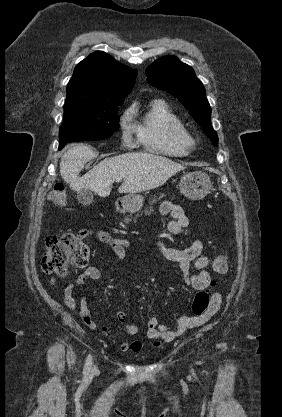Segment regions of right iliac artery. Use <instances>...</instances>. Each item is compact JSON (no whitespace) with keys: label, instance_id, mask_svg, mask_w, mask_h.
<instances>
[{"label":"right iliac artery","instance_id":"82829eb1","mask_svg":"<svg viewBox=\"0 0 282 417\" xmlns=\"http://www.w3.org/2000/svg\"><path fill=\"white\" fill-rule=\"evenodd\" d=\"M91 365H92V356L88 355L86 359L84 371H83L84 375H89L90 370H91Z\"/></svg>","mask_w":282,"mask_h":417}]
</instances>
